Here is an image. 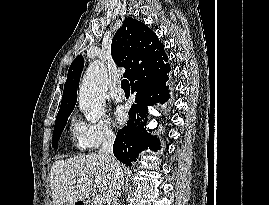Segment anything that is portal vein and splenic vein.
I'll list each match as a JSON object with an SVG mask.
<instances>
[{
  "label": "portal vein and splenic vein",
  "mask_w": 269,
  "mask_h": 205,
  "mask_svg": "<svg viewBox=\"0 0 269 205\" xmlns=\"http://www.w3.org/2000/svg\"><path fill=\"white\" fill-rule=\"evenodd\" d=\"M89 179L88 178H82V179H79V180H77V181H73V182H71V184H75V183H85V182H87ZM101 203H102V195H100V194H96L95 196H94V204L95 205H101Z\"/></svg>",
  "instance_id": "obj_1"
}]
</instances>
